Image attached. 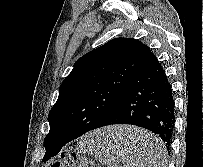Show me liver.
Returning <instances> with one entry per match:
<instances>
[{
    "instance_id": "liver-1",
    "label": "liver",
    "mask_w": 203,
    "mask_h": 167,
    "mask_svg": "<svg viewBox=\"0 0 203 167\" xmlns=\"http://www.w3.org/2000/svg\"><path fill=\"white\" fill-rule=\"evenodd\" d=\"M110 139L116 141V147L126 154L127 160H137L144 155V146L153 135L133 126H115L107 130Z\"/></svg>"
}]
</instances>
